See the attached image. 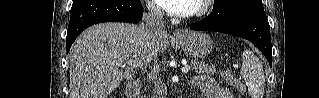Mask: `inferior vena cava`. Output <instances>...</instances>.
<instances>
[{"mask_svg":"<svg viewBox=\"0 0 319 98\" xmlns=\"http://www.w3.org/2000/svg\"><path fill=\"white\" fill-rule=\"evenodd\" d=\"M146 7L148 12L143 16L142 27L145 33L154 40H161L167 35L163 21V13L160 8L153 3L147 2ZM158 52L154 53L153 60L157 62ZM151 80L154 83L152 98H166L167 88L161 79L160 68H154L151 73Z\"/></svg>","mask_w":319,"mask_h":98,"instance_id":"602c4592","label":"inferior vena cava"}]
</instances>
